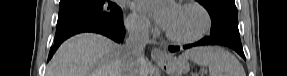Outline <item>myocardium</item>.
<instances>
[{
  "instance_id": "myocardium-1",
  "label": "myocardium",
  "mask_w": 287,
  "mask_h": 76,
  "mask_svg": "<svg viewBox=\"0 0 287 76\" xmlns=\"http://www.w3.org/2000/svg\"><path fill=\"white\" fill-rule=\"evenodd\" d=\"M179 7L193 8L197 10L203 18V24L196 33L190 36H186V37H178V36L172 35L167 30H165V36L167 37V39L177 44H189V43L196 42L200 40L201 38H203L208 33L212 25L211 15L208 12V10L202 4L196 1L184 2L180 4Z\"/></svg>"
}]
</instances>
